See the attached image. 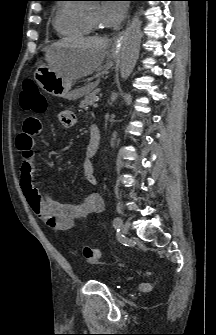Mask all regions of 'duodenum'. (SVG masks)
Returning <instances> with one entry per match:
<instances>
[{
  "label": "duodenum",
  "instance_id": "obj_1",
  "mask_svg": "<svg viewBox=\"0 0 216 335\" xmlns=\"http://www.w3.org/2000/svg\"><path fill=\"white\" fill-rule=\"evenodd\" d=\"M90 136L95 141L100 140L99 130L95 124L91 125L90 127Z\"/></svg>",
  "mask_w": 216,
  "mask_h": 335
}]
</instances>
